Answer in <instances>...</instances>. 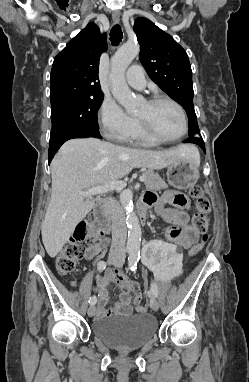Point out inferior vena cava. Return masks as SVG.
<instances>
[{
	"label": "inferior vena cava",
	"instance_id": "602c4592",
	"mask_svg": "<svg viewBox=\"0 0 249 382\" xmlns=\"http://www.w3.org/2000/svg\"><path fill=\"white\" fill-rule=\"evenodd\" d=\"M105 208L112 221V244L110 257L125 258V243L127 237L125 212L120 203L109 197L106 199Z\"/></svg>",
	"mask_w": 249,
	"mask_h": 382
}]
</instances>
